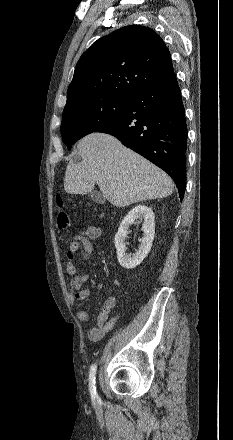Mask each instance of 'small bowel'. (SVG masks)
<instances>
[{
  "label": "small bowel",
  "mask_w": 233,
  "mask_h": 440,
  "mask_svg": "<svg viewBox=\"0 0 233 440\" xmlns=\"http://www.w3.org/2000/svg\"><path fill=\"white\" fill-rule=\"evenodd\" d=\"M100 235L101 230L99 227L88 225L71 238L67 251L66 262L67 272L72 277L68 286L71 302H81L88 298L89 290L84 287V283L91 278V275L86 271L78 272L74 263L75 256L80 246H82V256L83 258H88L93 252V241L99 238ZM98 289H102V284L98 286ZM115 305L116 299L114 297H108L106 299L97 316L95 326L87 331L89 339L99 340L113 329L117 322L118 316L109 318V315ZM78 317L82 321H89L90 314L85 310H80L78 312Z\"/></svg>",
  "instance_id": "small-bowel-1"
}]
</instances>
